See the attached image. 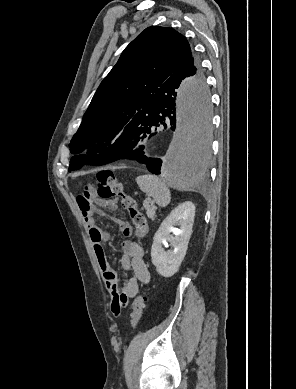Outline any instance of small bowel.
<instances>
[{"instance_id":"c3829d8e","label":"small bowel","mask_w":296,"mask_h":389,"mask_svg":"<svg viewBox=\"0 0 296 389\" xmlns=\"http://www.w3.org/2000/svg\"><path fill=\"white\" fill-rule=\"evenodd\" d=\"M77 204L93 243L100 271L111 295V309L115 314L126 307L128 302L137 295L140 284L145 285L150 282V272L143 258L144 252L138 244L130 239L132 235L131 225L127 221L112 218V221L118 225L122 235L126 238L121 243L122 255L119 260L126 274L123 283L120 284L119 276L110 266L103 247V244L110 238L109 233L98 227L95 222V214L101 213L98 207L114 209L116 206L97 198L94 191L80 194L77 198Z\"/></svg>"}]
</instances>
